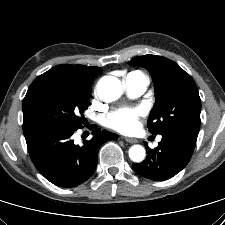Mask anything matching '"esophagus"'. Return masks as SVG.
<instances>
[{
    "label": "esophagus",
    "mask_w": 225,
    "mask_h": 225,
    "mask_svg": "<svg viewBox=\"0 0 225 225\" xmlns=\"http://www.w3.org/2000/svg\"><path fill=\"white\" fill-rule=\"evenodd\" d=\"M124 140L128 143H137L138 140L135 138H130V137H124Z\"/></svg>",
    "instance_id": "1"
}]
</instances>
